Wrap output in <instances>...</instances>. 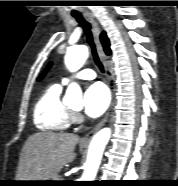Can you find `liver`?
I'll return each mask as SVG.
<instances>
[{
  "instance_id": "1",
  "label": "liver",
  "mask_w": 178,
  "mask_h": 186,
  "mask_svg": "<svg viewBox=\"0 0 178 186\" xmlns=\"http://www.w3.org/2000/svg\"><path fill=\"white\" fill-rule=\"evenodd\" d=\"M79 137L71 133L37 132L26 140L16 173L18 181H46L75 158Z\"/></svg>"
}]
</instances>
